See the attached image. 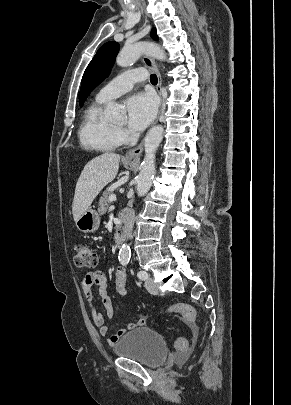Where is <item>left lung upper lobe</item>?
Returning a JSON list of instances; mask_svg holds the SVG:
<instances>
[{
	"label": "left lung upper lobe",
	"instance_id": "5c2ea615",
	"mask_svg": "<svg viewBox=\"0 0 291 405\" xmlns=\"http://www.w3.org/2000/svg\"><path fill=\"white\" fill-rule=\"evenodd\" d=\"M151 37L158 40L156 29L152 30ZM118 51L119 44L115 41H109L99 48L82 77L80 90L81 106L90 92L108 76Z\"/></svg>",
	"mask_w": 291,
	"mask_h": 405
}]
</instances>
